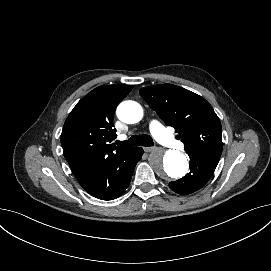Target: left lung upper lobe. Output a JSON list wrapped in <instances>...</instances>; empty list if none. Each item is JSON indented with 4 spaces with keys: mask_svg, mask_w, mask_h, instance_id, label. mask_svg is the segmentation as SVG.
Listing matches in <instances>:
<instances>
[{
    "mask_svg": "<svg viewBox=\"0 0 271 271\" xmlns=\"http://www.w3.org/2000/svg\"><path fill=\"white\" fill-rule=\"evenodd\" d=\"M140 95L167 126H172L185 151L222 153L221 123L211 105L201 96L172 84L140 89Z\"/></svg>",
    "mask_w": 271,
    "mask_h": 271,
    "instance_id": "5c2ea615",
    "label": "left lung upper lobe"
}]
</instances>
